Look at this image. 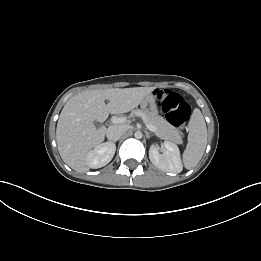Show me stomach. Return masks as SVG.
<instances>
[{
  "instance_id": "obj_1",
  "label": "stomach",
  "mask_w": 261,
  "mask_h": 261,
  "mask_svg": "<svg viewBox=\"0 0 261 261\" xmlns=\"http://www.w3.org/2000/svg\"><path fill=\"white\" fill-rule=\"evenodd\" d=\"M141 109L147 114H156L157 113V105L155 101V97L153 95H148L141 102Z\"/></svg>"
}]
</instances>
